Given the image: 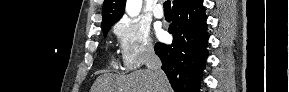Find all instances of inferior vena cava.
<instances>
[{"mask_svg": "<svg viewBox=\"0 0 289 92\" xmlns=\"http://www.w3.org/2000/svg\"><path fill=\"white\" fill-rule=\"evenodd\" d=\"M146 66L148 70L152 71L154 74L156 87L159 92L164 91V84L167 81V78L161 69L162 63L160 58L156 55L152 46H148L147 48V56H146Z\"/></svg>", "mask_w": 289, "mask_h": 92, "instance_id": "602c4592", "label": "inferior vena cava"}]
</instances>
